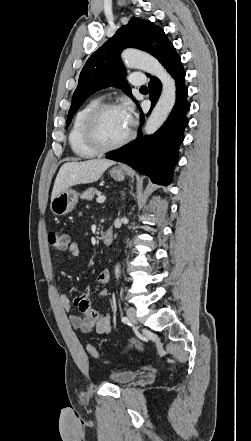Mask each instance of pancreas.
<instances>
[{"instance_id": "1", "label": "pancreas", "mask_w": 251, "mask_h": 441, "mask_svg": "<svg viewBox=\"0 0 251 441\" xmlns=\"http://www.w3.org/2000/svg\"><path fill=\"white\" fill-rule=\"evenodd\" d=\"M100 193L96 188L90 187L81 194V199L92 200L95 194Z\"/></svg>"}]
</instances>
